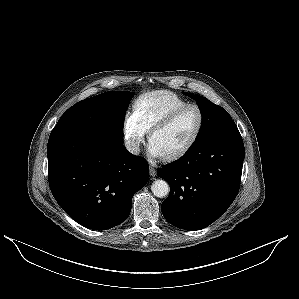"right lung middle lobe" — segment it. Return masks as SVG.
<instances>
[{"instance_id": "right-lung-middle-lobe-1", "label": "right lung middle lobe", "mask_w": 299, "mask_h": 299, "mask_svg": "<svg viewBox=\"0 0 299 299\" xmlns=\"http://www.w3.org/2000/svg\"><path fill=\"white\" fill-rule=\"evenodd\" d=\"M134 93L109 91L78 102L59 119L57 125L101 130L123 138L125 113Z\"/></svg>"}]
</instances>
